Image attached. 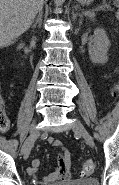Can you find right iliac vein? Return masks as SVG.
Segmentation results:
<instances>
[{"instance_id": "right-iliac-vein-1", "label": "right iliac vein", "mask_w": 119, "mask_h": 185, "mask_svg": "<svg viewBox=\"0 0 119 185\" xmlns=\"http://www.w3.org/2000/svg\"><path fill=\"white\" fill-rule=\"evenodd\" d=\"M38 134V129L36 126H33L30 130V134H29V143L26 146L25 150L22 152L24 159L26 160L29 157L32 145L34 143V140L36 139Z\"/></svg>"}]
</instances>
